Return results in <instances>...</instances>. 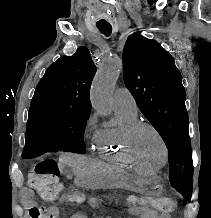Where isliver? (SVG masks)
<instances>
[{
    "label": "liver",
    "mask_w": 211,
    "mask_h": 218,
    "mask_svg": "<svg viewBox=\"0 0 211 218\" xmlns=\"http://www.w3.org/2000/svg\"><path fill=\"white\" fill-rule=\"evenodd\" d=\"M59 166H69L76 176H86L92 166V160L87 156H78V154H63L59 158Z\"/></svg>",
    "instance_id": "liver-1"
}]
</instances>
